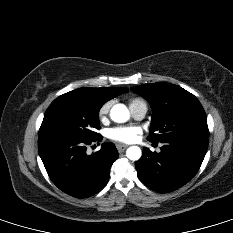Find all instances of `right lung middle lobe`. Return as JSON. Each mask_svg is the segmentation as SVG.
Here are the masks:
<instances>
[{
    "label": "right lung middle lobe",
    "mask_w": 233,
    "mask_h": 233,
    "mask_svg": "<svg viewBox=\"0 0 233 233\" xmlns=\"http://www.w3.org/2000/svg\"><path fill=\"white\" fill-rule=\"evenodd\" d=\"M102 105L94 103L73 92L57 97L45 112L39 129V137L66 135L87 140L100 136L99 110Z\"/></svg>",
    "instance_id": "1"
}]
</instances>
